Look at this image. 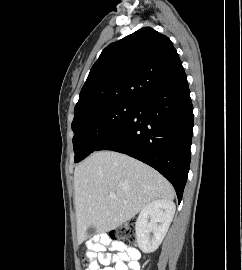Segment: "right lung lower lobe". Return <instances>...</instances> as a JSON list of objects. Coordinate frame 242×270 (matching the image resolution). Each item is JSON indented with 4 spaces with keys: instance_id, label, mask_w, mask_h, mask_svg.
Listing matches in <instances>:
<instances>
[{
    "instance_id": "1",
    "label": "right lung lower lobe",
    "mask_w": 242,
    "mask_h": 270,
    "mask_svg": "<svg viewBox=\"0 0 242 270\" xmlns=\"http://www.w3.org/2000/svg\"><path fill=\"white\" fill-rule=\"evenodd\" d=\"M192 133L193 106L182 67L141 96L122 127L96 151L124 153L152 166L172 183L180 202Z\"/></svg>"
}]
</instances>
